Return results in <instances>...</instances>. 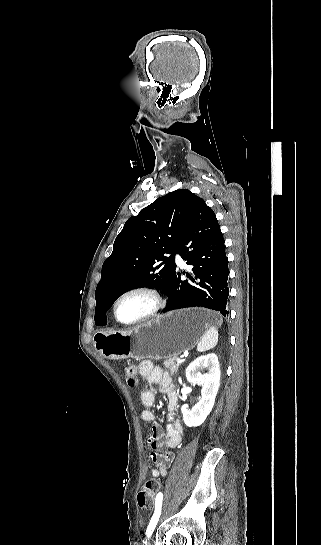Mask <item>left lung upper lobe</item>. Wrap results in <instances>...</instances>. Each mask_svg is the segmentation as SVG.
Masks as SVG:
<instances>
[{"instance_id": "obj_1", "label": "left lung upper lobe", "mask_w": 321, "mask_h": 545, "mask_svg": "<svg viewBox=\"0 0 321 545\" xmlns=\"http://www.w3.org/2000/svg\"><path fill=\"white\" fill-rule=\"evenodd\" d=\"M203 202L188 189H180L158 198L126 221L102 266L95 292L96 325H106L105 312L123 293L138 287L164 288L174 269L179 242L197 205Z\"/></svg>"}]
</instances>
